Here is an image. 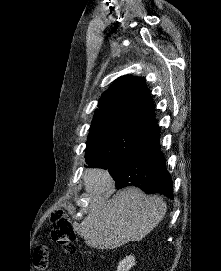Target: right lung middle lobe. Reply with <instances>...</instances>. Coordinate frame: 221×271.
<instances>
[{"label":"right lung middle lobe","instance_id":"obj_1","mask_svg":"<svg viewBox=\"0 0 221 271\" xmlns=\"http://www.w3.org/2000/svg\"><path fill=\"white\" fill-rule=\"evenodd\" d=\"M148 131L105 128L89 133L85 159L89 167L107 169L136 149Z\"/></svg>","mask_w":221,"mask_h":271}]
</instances>
